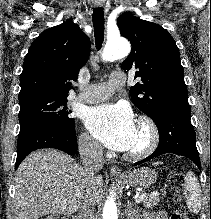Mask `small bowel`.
<instances>
[{"label":"small bowel","instance_id":"c3829d8e","mask_svg":"<svg viewBox=\"0 0 211 219\" xmlns=\"http://www.w3.org/2000/svg\"><path fill=\"white\" fill-rule=\"evenodd\" d=\"M142 219H167V215L164 211H156L144 214Z\"/></svg>","mask_w":211,"mask_h":219}]
</instances>
